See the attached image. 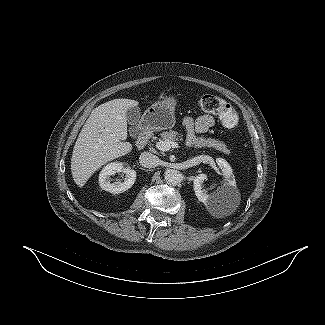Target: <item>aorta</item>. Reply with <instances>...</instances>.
<instances>
[{
	"label": "aorta",
	"mask_w": 325,
	"mask_h": 325,
	"mask_svg": "<svg viewBox=\"0 0 325 325\" xmlns=\"http://www.w3.org/2000/svg\"><path fill=\"white\" fill-rule=\"evenodd\" d=\"M165 181L170 185H177L181 183L183 175L180 171L175 169H169L165 172Z\"/></svg>",
	"instance_id": "aorta-1"
}]
</instances>
